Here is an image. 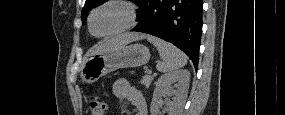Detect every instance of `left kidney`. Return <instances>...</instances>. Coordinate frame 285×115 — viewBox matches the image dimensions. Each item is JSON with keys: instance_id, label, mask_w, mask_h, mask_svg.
Wrapping results in <instances>:
<instances>
[{"instance_id": "5707ae66", "label": "left kidney", "mask_w": 285, "mask_h": 115, "mask_svg": "<svg viewBox=\"0 0 285 115\" xmlns=\"http://www.w3.org/2000/svg\"><path fill=\"white\" fill-rule=\"evenodd\" d=\"M189 82L190 72L188 70L181 69L162 75L156 82L153 92L150 105L151 115H159V108L162 105L161 97L164 95L172 97V102L167 103L169 115H179L187 98Z\"/></svg>"}]
</instances>
